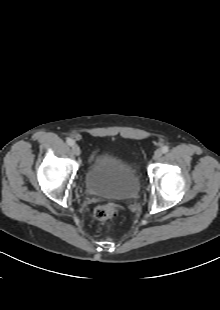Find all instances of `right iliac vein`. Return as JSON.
Wrapping results in <instances>:
<instances>
[{
  "mask_svg": "<svg viewBox=\"0 0 220 310\" xmlns=\"http://www.w3.org/2000/svg\"><path fill=\"white\" fill-rule=\"evenodd\" d=\"M72 152L75 156H79L81 154L80 147L76 144L72 146Z\"/></svg>",
  "mask_w": 220,
  "mask_h": 310,
  "instance_id": "obj_1",
  "label": "right iliac vein"
}]
</instances>
